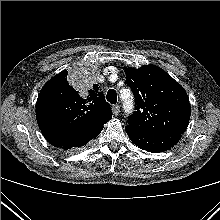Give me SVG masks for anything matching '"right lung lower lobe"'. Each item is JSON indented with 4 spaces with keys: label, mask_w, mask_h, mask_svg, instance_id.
Listing matches in <instances>:
<instances>
[{
    "label": "right lung lower lobe",
    "mask_w": 220,
    "mask_h": 220,
    "mask_svg": "<svg viewBox=\"0 0 220 220\" xmlns=\"http://www.w3.org/2000/svg\"><path fill=\"white\" fill-rule=\"evenodd\" d=\"M103 129V124H99L96 128H94L93 130H91L88 134L81 136L73 141H70L68 143H65L61 146H55V147H60L63 148L65 150L73 148V147H81L86 145L91 139L96 138L100 132Z\"/></svg>",
    "instance_id": "1"
}]
</instances>
